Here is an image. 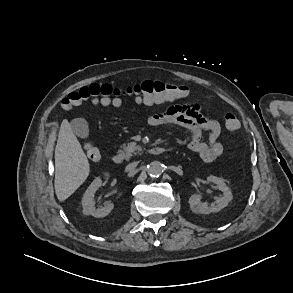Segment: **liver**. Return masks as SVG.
<instances>
[{"mask_svg":"<svg viewBox=\"0 0 293 293\" xmlns=\"http://www.w3.org/2000/svg\"><path fill=\"white\" fill-rule=\"evenodd\" d=\"M88 159L77 140L70 123H61L55 148V192L59 201L70 197L87 179Z\"/></svg>","mask_w":293,"mask_h":293,"instance_id":"6515ba94","label":"liver"}]
</instances>
